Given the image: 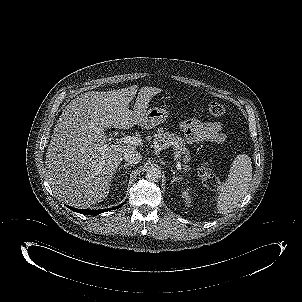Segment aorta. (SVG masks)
I'll return each mask as SVG.
<instances>
[{
  "label": "aorta",
  "instance_id": "obj_1",
  "mask_svg": "<svg viewBox=\"0 0 302 302\" xmlns=\"http://www.w3.org/2000/svg\"><path fill=\"white\" fill-rule=\"evenodd\" d=\"M146 178L149 180V181H152V182H156L160 179L161 177V171L159 168H156L154 166H151L149 168H147L146 170Z\"/></svg>",
  "mask_w": 302,
  "mask_h": 302
}]
</instances>
